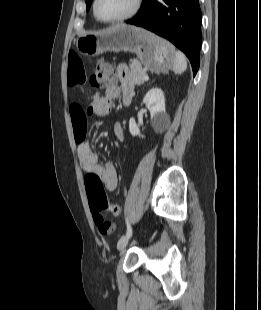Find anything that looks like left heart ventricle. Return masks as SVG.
Returning <instances> with one entry per match:
<instances>
[{
  "mask_svg": "<svg viewBox=\"0 0 261 310\" xmlns=\"http://www.w3.org/2000/svg\"><path fill=\"white\" fill-rule=\"evenodd\" d=\"M134 0H98L97 12L105 19L125 15L133 7Z\"/></svg>",
  "mask_w": 261,
  "mask_h": 310,
  "instance_id": "1",
  "label": "left heart ventricle"
}]
</instances>
